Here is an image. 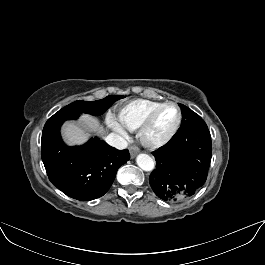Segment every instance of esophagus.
Masks as SVG:
<instances>
[{
    "label": "esophagus",
    "instance_id": "1",
    "mask_svg": "<svg viewBox=\"0 0 265 265\" xmlns=\"http://www.w3.org/2000/svg\"><path fill=\"white\" fill-rule=\"evenodd\" d=\"M138 149L136 147H130V155L132 158H134L138 154Z\"/></svg>",
    "mask_w": 265,
    "mask_h": 265
}]
</instances>
